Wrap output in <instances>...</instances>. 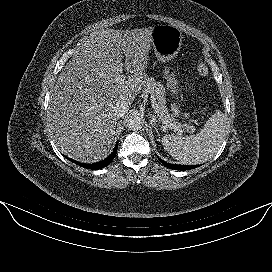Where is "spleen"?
Instances as JSON below:
<instances>
[{
  "mask_svg": "<svg viewBox=\"0 0 272 272\" xmlns=\"http://www.w3.org/2000/svg\"><path fill=\"white\" fill-rule=\"evenodd\" d=\"M226 130L225 115L215 112L196 135H165L164 149L183 164H200L211 159L224 140Z\"/></svg>",
  "mask_w": 272,
  "mask_h": 272,
  "instance_id": "spleen-1",
  "label": "spleen"
}]
</instances>
